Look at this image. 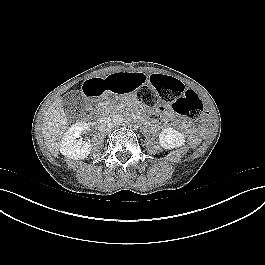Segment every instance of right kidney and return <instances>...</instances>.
Returning a JSON list of instances; mask_svg holds the SVG:
<instances>
[{
	"label": "right kidney",
	"mask_w": 265,
	"mask_h": 265,
	"mask_svg": "<svg viewBox=\"0 0 265 265\" xmlns=\"http://www.w3.org/2000/svg\"><path fill=\"white\" fill-rule=\"evenodd\" d=\"M88 129L85 122H77L73 124L63 135L60 142V152L71 159H85L91 152L92 145L88 142L78 140L79 135Z\"/></svg>",
	"instance_id": "ca27d5eb"
}]
</instances>
